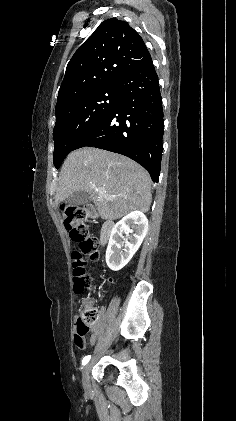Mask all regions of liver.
<instances>
[{
	"label": "liver",
	"instance_id": "1",
	"mask_svg": "<svg viewBox=\"0 0 236 421\" xmlns=\"http://www.w3.org/2000/svg\"><path fill=\"white\" fill-rule=\"evenodd\" d=\"M96 184L98 188H90ZM152 180L145 168L128 156L83 146L68 154L61 168L55 202H61L76 190H87L101 219L115 221L132 211L147 213L151 204ZM108 194H125L107 200Z\"/></svg>",
	"mask_w": 236,
	"mask_h": 421
}]
</instances>
